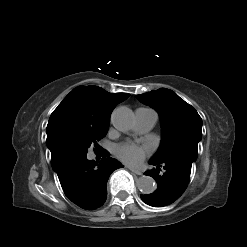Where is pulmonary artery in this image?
<instances>
[{
    "mask_svg": "<svg viewBox=\"0 0 247 247\" xmlns=\"http://www.w3.org/2000/svg\"><path fill=\"white\" fill-rule=\"evenodd\" d=\"M136 125L135 129L139 133H145L151 130L156 123L157 114L154 110L148 108H138L135 111Z\"/></svg>",
    "mask_w": 247,
    "mask_h": 247,
    "instance_id": "obj_1",
    "label": "pulmonary artery"
}]
</instances>
